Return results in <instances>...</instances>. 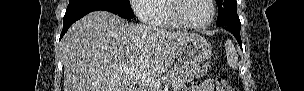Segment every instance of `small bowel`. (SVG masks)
Returning <instances> with one entry per match:
<instances>
[{"label": "small bowel", "mask_w": 304, "mask_h": 91, "mask_svg": "<svg viewBox=\"0 0 304 91\" xmlns=\"http://www.w3.org/2000/svg\"><path fill=\"white\" fill-rule=\"evenodd\" d=\"M211 90H212V81L210 80H205L187 89V91H211Z\"/></svg>", "instance_id": "1"}]
</instances>
